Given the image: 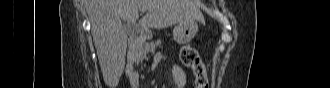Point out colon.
<instances>
[{
	"label": "colon",
	"instance_id": "5ec220e1",
	"mask_svg": "<svg viewBox=\"0 0 330 88\" xmlns=\"http://www.w3.org/2000/svg\"><path fill=\"white\" fill-rule=\"evenodd\" d=\"M181 62L195 77V88H209V81L205 65L202 63L198 50L186 45L181 50Z\"/></svg>",
	"mask_w": 330,
	"mask_h": 88
}]
</instances>
